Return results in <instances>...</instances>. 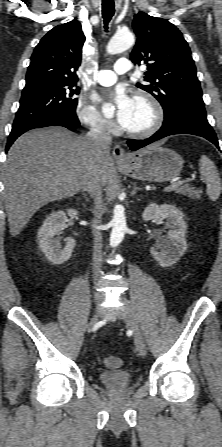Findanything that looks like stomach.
<instances>
[{"label":"stomach","mask_w":222,"mask_h":447,"mask_svg":"<svg viewBox=\"0 0 222 447\" xmlns=\"http://www.w3.org/2000/svg\"><path fill=\"white\" fill-rule=\"evenodd\" d=\"M183 163L175 151L153 144L127 155L124 162L116 164L122 173L133 179L164 182L178 176Z\"/></svg>","instance_id":"0dacf381"}]
</instances>
